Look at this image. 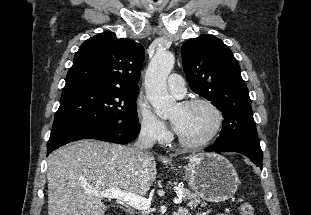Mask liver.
Instances as JSON below:
<instances>
[{
	"instance_id": "liver-1",
	"label": "liver",
	"mask_w": 311,
	"mask_h": 215,
	"mask_svg": "<svg viewBox=\"0 0 311 215\" xmlns=\"http://www.w3.org/2000/svg\"><path fill=\"white\" fill-rule=\"evenodd\" d=\"M48 215H104L95 192L121 189L145 195L157 174L154 156L133 147L81 140L48 157Z\"/></svg>"
}]
</instances>
